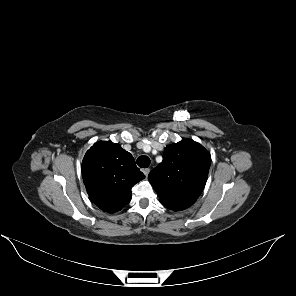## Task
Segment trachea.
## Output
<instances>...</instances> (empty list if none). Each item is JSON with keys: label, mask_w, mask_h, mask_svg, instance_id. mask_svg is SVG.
I'll use <instances>...</instances> for the list:
<instances>
[{"label": "trachea", "mask_w": 296, "mask_h": 296, "mask_svg": "<svg viewBox=\"0 0 296 296\" xmlns=\"http://www.w3.org/2000/svg\"><path fill=\"white\" fill-rule=\"evenodd\" d=\"M137 164L141 168H147L150 165V158L148 156H139L137 158Z\"/></svg>", "instance_id": "1"}]
</instances>
